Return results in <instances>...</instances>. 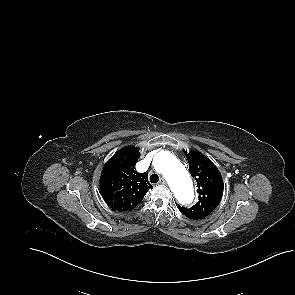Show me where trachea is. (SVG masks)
Returning a JSON list of instances; mask_svg holds the SVG:
<instances>
[{"label": "trachea", "instance_id": "trachea-1", "mask_svg": "<svg viewBox=\"0 0 295 295\" xmlns=\"http://www.w3.org/2000/svg\"><path fill=\"white\" fill-rule=\"evenodd\" d=\"M159 181V176L157 174H152L150 176V182L151 183H157Z\"/></svg>", "mask_w": 295, "mask_h": 295}]
</instances>
